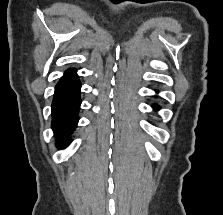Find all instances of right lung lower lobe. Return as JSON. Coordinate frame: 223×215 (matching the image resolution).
Here are the masks:
<instances>
[{
	"label": "right lung lower lobe",
	"instance_id": "1",
	"mask_svg": "<svg viewBox=\"0 0 223 215\" xmlns=\"http://www.w3.org/2000/svg\"><path fill=\"white\" fill-rule=\"evenodd\" d=\"M80 88L81 84L75 72L64 75L55 87L52 128L59 148L68 146L69 136L78 123V111L81 104Z\"/></svg>",
	"mask_w": 223,
	"mask_h": 215
}]
</instances>
